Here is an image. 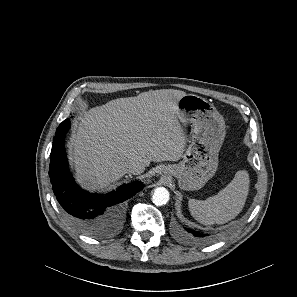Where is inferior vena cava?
<instances>
[{"mask_svg": "<svg viewBox=\"0 0 297 297\" xmlns=\"http://www.w3.org/2000/svg\"><path fill=\"white\" fill-rule=\"evenodd\" d=\"M145 170V165L137 160H129L125 163V171L128 174H141Z\"/></svg>", "mask_w": 297, "mask_h": 297, "instance_id": "inferior-vena-cava-1", "label": "inferior vena cava"}]
</instances>
